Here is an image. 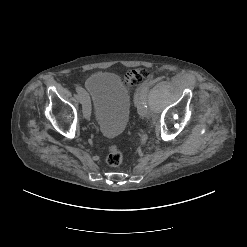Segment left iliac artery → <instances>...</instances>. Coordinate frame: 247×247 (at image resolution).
<instances>
[{
  "label": "left iliac artery",
  "mask_w": 247,
  "mask_h": 247,
  "mask_svg": "<svg viewBox=\"0 0 247 247\" xmlns=\"http://www.w3.org/2000/svg\"><path fill=\"white\" fill-rule=\"evenodd\" d=\"M152 84V81L150 82H146L142 85L141 87V90H140V101H139V106L141 108H147V105H146V94H147V91L149 90L150 86Z\"/></svg>",
  "instance_id": "obj_1"
}]
</instances>
